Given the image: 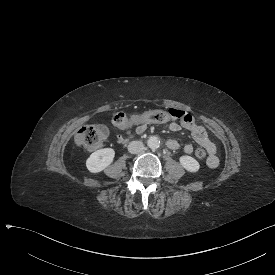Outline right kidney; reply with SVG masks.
<instances>
[{"instance_id":"right-kidney-1","label":"right kidney","mask_w":275,"mask_h":275,"mask_svg":"<svg viewBox=\"0 0 275 275\" xmlns=\"http://www.w3.org/2000/svg\"><path fill=\"white\" fill-rule=\"evenodd\" d=\"M102 157V159H100ZM115 150L103 148L93 152L86 160V168L91 173H99L105 170L113 161Z\"/></svg>"}]
</instances>
